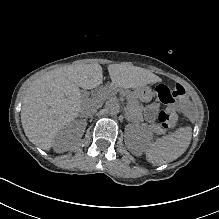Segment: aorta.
Returning a JSON list of instances; mask_svg holds the SVG:
<instances>
[{
  "label": "aorta",
  "instance_id": "aorta-1",
  "mask_svg": "<svg viewBox=\"0 0 219 219\" xmlns=\"http://www.w3.org/2000/svg\"><path fill=\"white\" fill-rule=\"evenodd\" d=\"M105 109L111 115H117L120 112V106L116 99H109L105 102Z\"/></svg>",
  "mask_w": 219,
  "mask_h": 219
}]
</instances>
